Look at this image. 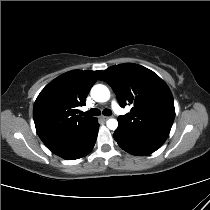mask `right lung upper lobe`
Returning a JSON list of instances; mask_svg holds the SVG:
<instances>
[{
	"label": "right lung upper lobe",
	"instance_id": "right-lung-upper-lobe-1",
	"mask_svg": "<svg viewBox=\"0 0 210 210\" xmlns=\"http://www.w3.org/2000/svg\"><path fill=\"white\" fill-rule=\"evenodd\" d=\"M101 71H69L51 81L38 95L33 108L37 134L54 152L86 132L94 117L77 115V107L85 99Z\"/></svg>",
	"mask_w": 210,
	"mask_h": 210
}]
</instances>
